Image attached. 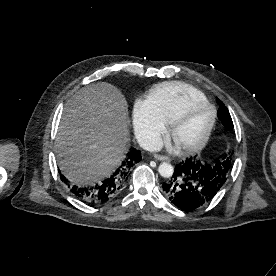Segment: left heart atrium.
<instances>
[{
	"label": "left heart atrium",
	"mask_w": 276,
	"mask_h": 276,
	"mask_svg": "<svg viewBox=\"0 0 276 276\" xmlns=\"http://www.w3.org/2000/svg\"><path fill=\"white\" fill-rule=\"evenodd\" d=\"M180 146V144L176 141V144H175V146H172L171 145V147H179Z\"/></svg>",
	"instance_id": "1"
}]
</instances>
